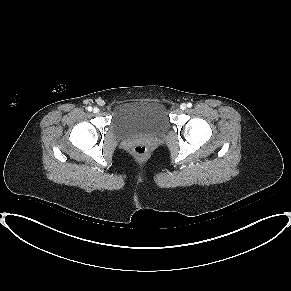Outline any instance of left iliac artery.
Listing matches in <instances>:
<instances>
[{"instance_id":"obj_1","label":"left iliac artery","mask_w":291,"mask_h":291,"mask_svg":"<svg viewBox=\"0 0 291 291\" xmlns=\"http://www.w3.org/2000/svg\"><path fill=\"white\" fill-rule=\"evenodd\" d=\"M187 107H188V108H191V107H192V103H190V102L187 103Z\"/></svg>"}]
</instances>
